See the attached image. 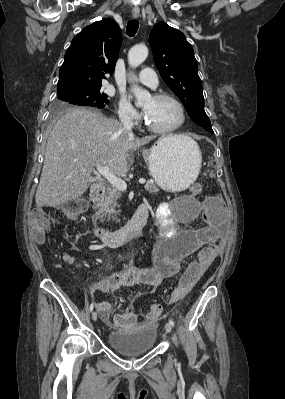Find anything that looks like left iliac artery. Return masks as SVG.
Returning a JSON list of instances; mask_svg holds the SVG:
<instances>
[{
	"label": "left iliac artery",
	"instance_id": "left-iliac-artery-1",
	"mask_svg": "<svg viewBox=\"0 0 285 399\" xmlns=\"http://www.w3.org/2000/svg\"><path fill=\"white\" fill-rule=\"evenodd\" d=\"M169 323H170L172 326L175 325V322H174L172 319L169 320Z\"/></svg>",
	"mask_w": 285,
	"mask_h": 399
}]
</instances>
